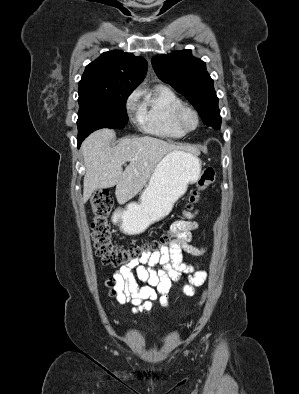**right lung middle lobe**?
I'll list each match as a JSON object with an SVG mask.
<instances>
[{"mask_svg":"<svg viewBox=\"0 0 299 394\" xmlns=\"http://www.w3.org/2000/svg\"><path fill=\"white\" fill-rule=\"evenodd\" d=\"M133 90H78V136L100 128H124L128 123L126 100Z\"/></svg>","mask_w":299,"mask_h":394,"instance_id":"right-lung-middle-lobe-1","label":"right lung middle lobe"}]
</instances>
